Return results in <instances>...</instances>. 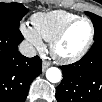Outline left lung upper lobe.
Here are the masks:
<instances>
[{"label": "left lung upper lobe", "instance_id": "obj_1", "mask_svg": "<svg viewBox=\"0 0 102 102\" xmlns=\"http://www.w3.org/2000/svg\"><path fill=\"white\" fill-rule=\"evenodd\" d=\"M86 15L90 16L95 30L94 40L102 39V18L90 12H85Z\"/></svg>", "mask_w": 102, "mask_h": 102}]
</instances>
